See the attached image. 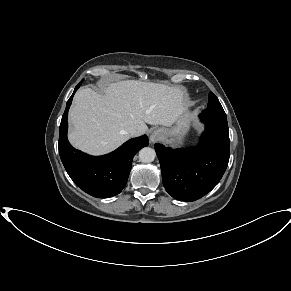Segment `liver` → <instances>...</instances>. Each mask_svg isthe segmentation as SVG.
Segmentation results:
<instances>
[{"label": "liver", "instance_id": "liver-1", "mask_svg": "<svg viewBox=\"0 0 291 291\" xmlns=\"http://www.w3.org/2000/svg\"><path fill=\"white\" fill-rule=\"evenodd\" d=\"M178 87L137 80L109 84L105 95L79 90L69 111L70 143L92 155L111 152L126 142L133 129L146 125L172 126L187 108Z\"/></svg>", "mask_w": 291, "mask_h": 291}]
</instances>
